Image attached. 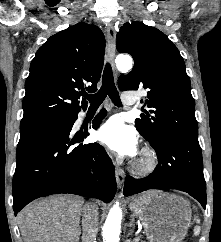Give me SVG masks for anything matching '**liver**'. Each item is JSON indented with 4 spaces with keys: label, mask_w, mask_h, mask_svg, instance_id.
Listing matches in <instances>:
<instances>
[{
    "label": "liver",
    "mask_w": 221,
    "mask_h": 242,
    "mask_svg": "<svg viewBox=\"0 0 221 242\" xmlns=\"http://www.w3.org/2000/svg\"><path fill=\"white\" fill-rule=\"evenodd\" d=\"M84 201L74 196H56L34 201L19 213L24 242H78Z\"/></svg>",
    "instance_id": "liver-1"
}]
</instances>
